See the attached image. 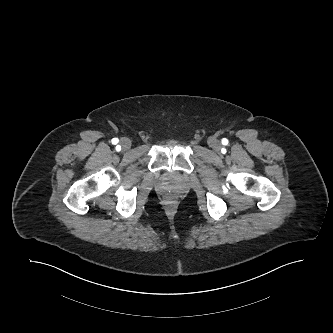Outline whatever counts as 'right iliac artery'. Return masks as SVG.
Returning <instances> with one entry per match:
<instances>
[{
	"label": "right iliac artery",
	"mask_w": 333,
	"mask_h": 333,
	"mask_svg": "<svg viewBox=\"0 0 333 333\" xmlns=\"http://www.w3.org/2000/svg\"><path fill=\"white\" fill-rule=\"evenodd\" d=\"M118 141H119L118 138H113V139H112V143H113V144H117Z\"/></svg>",
	"instance_id": "obj_1"
}]
</instances>
